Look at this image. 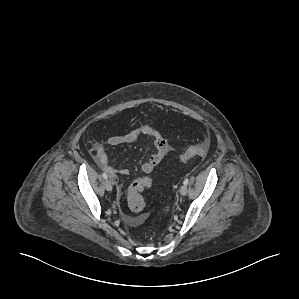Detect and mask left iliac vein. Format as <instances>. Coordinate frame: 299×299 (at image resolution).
I'll list each match as a JSON object with an SVG mask.
<instances>
[{"label":"left iliac vein","mask_w":299,"mask_h":299,"mask_svg":"<svg viewBox=\"0 0 299 299\" xmlns=\"http://www.w3.org/2000/svg\"><path fill=\"white\" fill-rule=\"evenodd\" d=\"M188 192L187 186L186 185H182L180 188V194L185 196Z\"/></svg>","instance_id":"obj_1"}]
</instances>
